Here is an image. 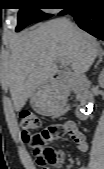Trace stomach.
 <instances>
[{"label": "stomach", "instance_id": "stomach-1", "mask_svg": "<svg viewBox=\"0 0 104 169\" xmlns=\"http://www.w3.org/2000/svg\"><path fill=\"white\" fill-rule=\"evenodd\" d=\"M34 110L43 115L58 112L64 104L60 93L51 82L40 86L30 98Z\"/></svg>", "mask_w": 104, "mask_h": 169}]
</instances>
